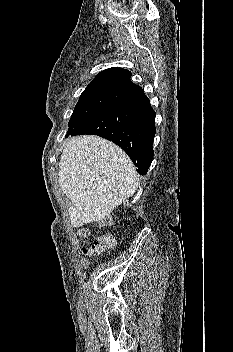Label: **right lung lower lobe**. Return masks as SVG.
Returning <instances> with one entry per match:
<instances>
[{"label":"right lung lower lobe","mask_w":233,"mask_h":352,"mask_svg":"<svg viewBox=\"0 0 233 352\" xmlns=\"http://www.w3.org/2000/svg\"><path fill=\"white\" fill-rule=\"evenodd\" d=\"M155 111L143 91L106 109L66 136L98 135L120 146L140 175H145L153 159Z\"/></svg>","instance_id":"right-lung-lower-lobe-1"}]
</instances>
